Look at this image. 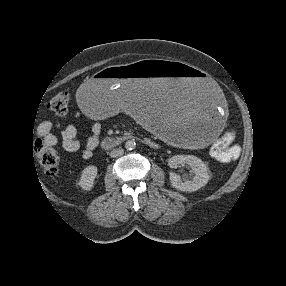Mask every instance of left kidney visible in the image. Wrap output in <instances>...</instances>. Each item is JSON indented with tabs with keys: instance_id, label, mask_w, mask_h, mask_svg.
I'll return each mask as SVG.
<instances>
[{
	"instance_id": "left-kidney-1",
	"label": "left kidney",
	"mask_w": 286,
	"mask_h": 286,
	"mask_svg": "<svg viewBox=\"0 0 286 286\" xmlns=\"http://www.w3.org/2000/svg\"><path fill=\"white\" fill-rule=\"evenodd\" d=\"M188 165L190 172L194 175L191 180H182L180 175L171 172V185L177 190L183 192H193L205 186L209 180L208 169L205 163L193 155H176L168 160V165L171 168H176L179 165Z\"/></svg>"
}]
</instances>
